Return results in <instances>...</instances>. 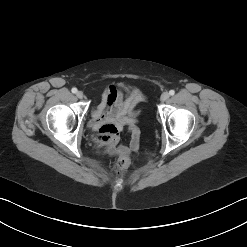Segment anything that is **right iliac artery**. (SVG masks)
I'll return each instance as SVG.
<instances>
[{"instance_id":"obj_1","label":"right iliac artery","mask_w":247,"mask_h":247,"mask_svg":"<svg viewBox=\"0 0 247 247\" xmlns=\"http://www.w3.org/2000/svg\"><path fill=\"white\" fill-rule=\"evenodd\" d=\"M72 93H76L77 92V88H72Z\"/></svg>"}]
</instances>
